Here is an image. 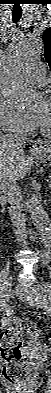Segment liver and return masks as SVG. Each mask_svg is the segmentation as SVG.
<instances>
[{"label":"liver","mask_w":51,"mask_h":393,"mask_svg":"<svg viewBox=\"0 0 51 393\" xmlns=\"http://www.w3.org/2000/svg\"><path fill=\"white\" fill-rule=\"evenodd\" d=\"M29 169V160L24 152H17L6 140L0 137V181L1 177L20 180Z\"/></svg>","instance_id":"liver-1"}]
</instances>
